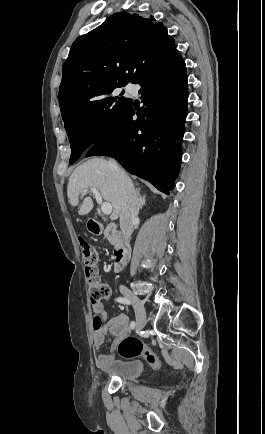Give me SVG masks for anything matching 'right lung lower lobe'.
Wrapping results in <instances>:
<instances>
[{
  "instance_id": "right-lung-lower-lobe-1",
  "label": "right lung lower lobe",
  "mask_w": 265,
  "mask_h": 434,
  "mask_svg": "<svg viewBox=\"0 0 265 434\" xmlns=\"http://www.w3.org/2000/svg\"><path fill=\"white\" fill-rule=\"evenodd\" d=\"M187 82L185 61L179 51H167L133 82L141 86L144 106L139 108L132 101L118 125L93 144L86 157H114L128 172L169 194L182 158Z\"/></svg>"
}]
</instances>
